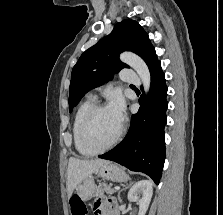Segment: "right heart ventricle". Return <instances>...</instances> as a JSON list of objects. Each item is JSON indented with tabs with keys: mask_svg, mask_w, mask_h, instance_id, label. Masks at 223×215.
<instances>
[{
	"mask_svg": "<svg viewBox=\"0 0 223 215\" xmlns=\"http://www.w3.org/2000/svg\"><path fill=\"white\" fill-rule=\"evenodd\" d=\"M94 103L91 99H87L78 107L73 123H72V138L76 151L83 156H93L94 154L82 143L81 140V127L89 110L93 107Z\"/></svg>",
	"mask_w": 223,
	"mask_h": 215,
	"instance_id": "e07e8e85",
	"label": "right heart ventricle"
}]
</instances>
